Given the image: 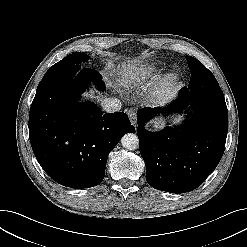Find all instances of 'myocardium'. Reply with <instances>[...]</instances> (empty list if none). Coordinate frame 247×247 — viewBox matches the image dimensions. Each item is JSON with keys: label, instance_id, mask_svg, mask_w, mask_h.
Returning a JSON list of instances; mask_svg holds the SVG:
<instances>
[{"label": "myocardium", "instance_id": "myocardium-1", "mask_svg": "<svg viewBox=\"0 0 247 247\" xmlns=\"http://www.w3.org/2000/svg\"><path fill=\"white\" fill-rule=\"evenodd\" d=\"M174 80V77H168L167 78V81H173Z\"/></svg>", "mask_w": 247, "mask_h": 247}]
</instances>
